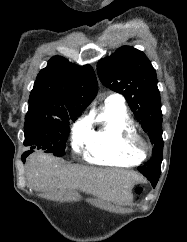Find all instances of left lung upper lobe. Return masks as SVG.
<instances>
[{
  "label": "left lung upper lobe",
  "mask_w": 187,
  "mask_h": 242,
  "mask_svg": "<svg viewBox=\"0 0 187 242\" xmlns=\"http://www.w3.org/2000/svg\"><path fill=\"white\" fill-rule=\"evenodd\" d=\"M101 82L122 94L141 127L149 134L154 148L151 159L138 170L144 175L160 176L163 139L162 112L157 76L145 54L130 46H123L97 64Z\"/></svg>",
  "instance_id": "1"
}]
</instances>
